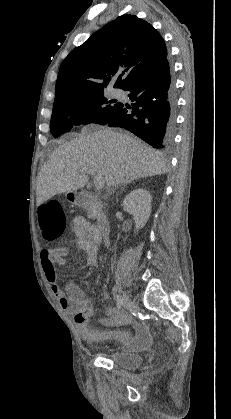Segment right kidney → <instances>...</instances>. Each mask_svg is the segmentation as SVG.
<instances>
[{
  "mask_svg": "<svg viewBox=\"0 0 231 419\" xmlns=\"http://www.w3.org/2000/svg\"><path fill=\"white\" fill-rule=\"evenodd\" d=\"M151 200L150 193L143 188L131 191L123 200V209L133 216L137 232L145 226L150 217Z\"/></svg>",
  "mask_w": 231,
  "mask_h": 419,
  "instance_id": "obj_1",
  "label": "right kidney"
}]
</instances>
